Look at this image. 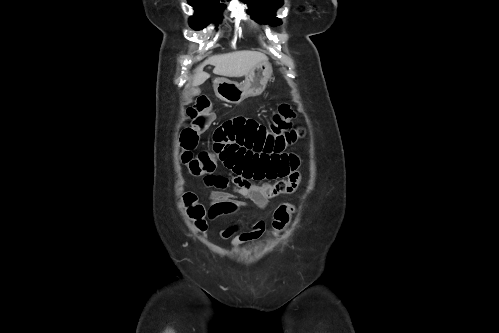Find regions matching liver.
Segmentation results:
<instances>
[{
  "label": "liver",
  "instance_id": "1",
  "mask_svg": "<svg viewBox=\"0 0 499 333\" xmlns=\"http://www.w3.org/2000/svg\"><path fill=\"white\" fill-rule=\"evenodd\" d=\"M265 54L257 51H236L215 55L204 61L195 71L193 86L203 84L210 75L203 71L205 65H213V73L226 77L246 76L250 70L261 62L267 61Z\"/></svg>",
  "mask_w": 499,
  "mask_h": 333
}]
</instances>
